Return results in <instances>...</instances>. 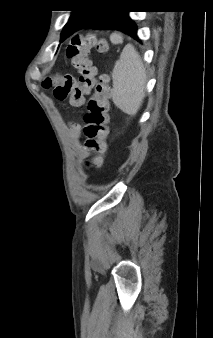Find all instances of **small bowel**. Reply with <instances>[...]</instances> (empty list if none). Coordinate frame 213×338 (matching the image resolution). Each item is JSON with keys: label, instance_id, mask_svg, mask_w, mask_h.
<instances>
[{"label": "small bowel", "instance_id": "small-bowel-1", "mask_svg": "<svg viewBox=\"0 0 213 338\" xmlns=\"http://www.w3.org/2000/svg\"><path fill=\"white\" fill-rule=\"evenodd\" d=\"M81 132H82V130H81L80 126L75 127L74 130H73L75 137L78 138V139L81 137Z\"/></svg>", "mask_w": 213, "mask_h": 338}]
</instances>
